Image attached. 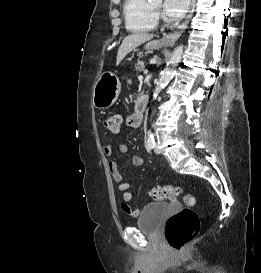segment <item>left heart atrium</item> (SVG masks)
I'll return each mask as SVG.
<instances>
[{
	"instance_id": "obj_1",
	"label": "left heart atrium",
	"mask_w": 261,
	"mask_h": 273,
	"mask_svg": "<svg viewBox=\"0 0 261 273\" xmlns=\"http://www.w3.org/2000/svg\"><path fill=\"white\" fill-rule=\"evenodd\" d=\"M189 0H164L163 9L171 20L180 19L187 10Z\"/></svg>"
}]
</instances>
